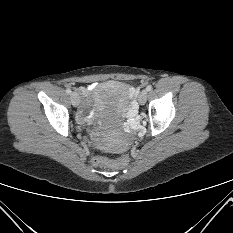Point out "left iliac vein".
I'll return each mask as SVG.
<instances>
[{
  "label": "left iliac vein",
  "mask_w": 233,
  "mask_h": 233,
  "mask_svg": "<svg viewBox=\"0 0 233 233\" xmlns=\"http://www.w3.org/2000/svg\"><path fill=\"white\" fill-rule=\"evenodd\" d=\"M147 100V90H142L139 97H138V101L141 105L145 104Z\"/></svg>",
  "instance_id": "obj_1"
}]
</instances>
